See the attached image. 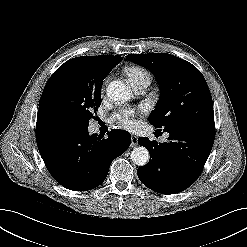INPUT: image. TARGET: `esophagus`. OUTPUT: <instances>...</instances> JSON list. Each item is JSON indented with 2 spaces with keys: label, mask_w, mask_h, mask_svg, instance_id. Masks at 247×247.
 Returning <instances> with one entry per match:
<instances>
[{
  "label": "esophagus",
  "mask_w": 247,
  "mask_h": 247,
  "mask_svg": "<svg viewBox=\"0 0 247 247\" xmlns=\"http://www.w3.org/2000/svg\"><path fill=\"white\" fill-rule=\"evenodd\" d=\"M138 144V137L134 134H131V147H135Z\"/></svg>",
  "instance_id": "1"
}]
</instances>
